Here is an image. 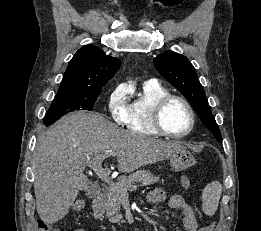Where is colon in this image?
Wrapping results in <instances>:
<instances>
[{
  "label": "colon",
  "mask_w": 261,
  "mask_h": 231,
  "mask_svg": "<svg viewBox=\"0 0 261 231\" xmlns=\"http://www.w3.org/2000/svg\"><path fill=\"white\" fill-rule=\"evenodd\" d=\"M85 208V203L81 200L75 201L71 206L72 212L81 211ZM39 231H59V229L50 223H47L43 220H38Z\"/></svg>",
  "instance_id": "5ec220e1"
}]
</instances>
